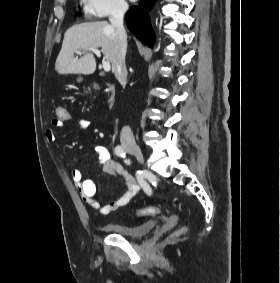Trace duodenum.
<instances>
[{"instance_id":"duodenum-1","label":"duodenum","mask_w":280,"mask_h":283,"mask_svg":"<svg viewBox=\"0 0 280 283\" xmlns=\"http://www.w3.org/2000/svg\"><path fill=\"white\" fill-rule=\"evenodd\" d=\"M107 93H108V96H109V105L111 106L114 102V96H115V91H114L113 87L109 86L107 88Z\"/></svg>"}]
</instances>
